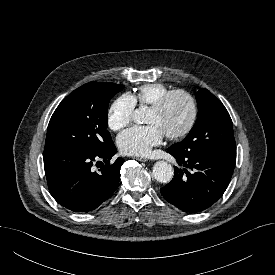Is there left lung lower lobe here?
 <instances>
[{
  "instance_id": "1",
  "label": "left lung lower lobe",
  "mask_w": 275,
  "mask_h": 275,
  "mask_svg": "<svg viewBox=\"0 0 275 275\" xmlns=\"http://www.w3.org/2000/svg\"><path fill=\"white\" fill-rule=\"evenodd\" d=\"M179 165L174 167V178L160 189L163 197L172 205L187 213L201 212L218 201L227 189L232 177L236 156L196 151L182 155L169 147ZM186 175H184V173Z\"/></svg>"
}]
</instances>
